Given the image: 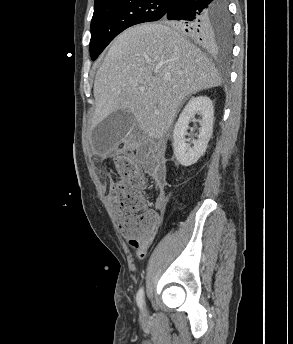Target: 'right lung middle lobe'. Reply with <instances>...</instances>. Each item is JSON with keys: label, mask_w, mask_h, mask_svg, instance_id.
<instances>
[{"label": "right lung middle lobe", "mask_w": 293, "mask_h": 344, "mask_svg": "<svg viewBox=\"0 0 293 344\" xmlns=\"http://www.w3.org/2000/svg\"><path fill=\"white\" fill-rule=\"evenodd\" d=\"M172 0H111L94 5L90 55L95 60L106 46L130 26L164 18ZM210 20L213 45L231 47L232 26L225 0H218ZM177 27V23H172Z\"/></svg>", "instance_id": "1"}]
</instances>
